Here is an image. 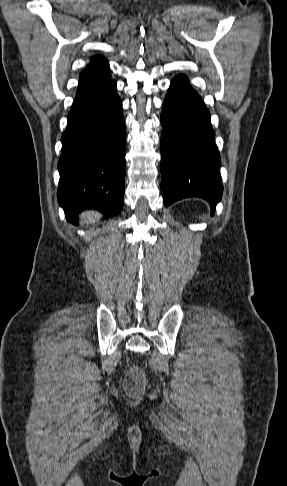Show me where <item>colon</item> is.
<instances>
[{
	"label": "colon",
	"instance_id": "1",
	"mask_svg": "<svg viewBox=\"0 0 287 486\" xmlns=\"http://www.w3.org/2000/svg\"><path fill=\"white\" fill-rule=\"evenodd\" d=\"M145 384V376L143 371L138 367H133L129 370L125 378V389L130 394L139 393Z\"/></svg>",
	"mask_w": 287,
	"mask_h": 486
}]
</instances>
